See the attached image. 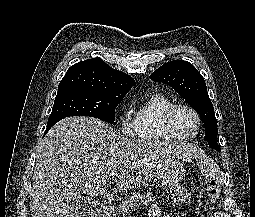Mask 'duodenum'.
Here are the masks:
<instances>
[{
  "instance_id": "410a0bca",
  "label": "duodenum",
  "mask_w": 255,
  "mask_h": 217,
  "mask_svg": "<svg viewBox=\"0 0 255 217\" xmlns=\"http://www.w3.org/2000/svg\"><path fill=\"white\" fill-rule=\"evenodd\" d=\"M111 213V207L109 205H101L96 213L95 217H109Z\"/></svg>"
}]
</instances>
